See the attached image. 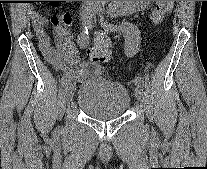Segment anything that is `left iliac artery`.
Returning <instances> with one entry per match:
<instances>
[{
    "mask_svg": "<svg viewBox=\"0 0 207 169\" xmlns=\"http://www.w3.org/2000/svg\"><path fill=\"white\" fill-rule=\"evenodd\" d=\"M101 13H103V9H100ZM100 24L107 28L108 30H116L117 27H114L112 24H108L102 15L99 16ZM120 35H124V39H127V42H124V51H126V58H131V54H136V46L135 43H139V34H137V30H135V26H124L120 27ZM129 52V53H128ZM133 83L136 86H142L144 84V80L142 77H135L133 79Z\"/></svg>",
    "mask_w": 207,
    "mask_h": 169,
    "instance_id": "1",
    "label": "left iliac artery"
}]
</instances>
